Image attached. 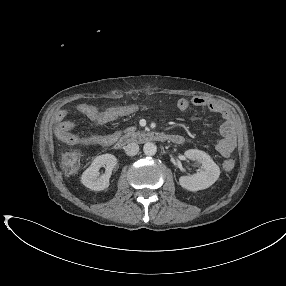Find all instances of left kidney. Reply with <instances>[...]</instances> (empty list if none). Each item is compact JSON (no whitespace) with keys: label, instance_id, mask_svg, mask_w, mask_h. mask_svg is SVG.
<instances>
[{"label":"left kidney","instance_id":"obj_1","mask_svg":"<svg viewBox=\"0 0 286 286\" xmlns=\"http://www.w3.org/2000/svg\"><path fill=\"white\" fill-rule=\"evenodd\" d=\"M185 156L202 164V169L192 176H181L179 183L183 188L189 191L203 190L217 181L220 175V168L210 155L198 149H189L185 151Z\"/></svg>","mask_w":286,"mask_h":286}]
</instances>
